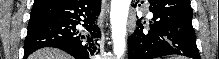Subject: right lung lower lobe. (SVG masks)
I'll list each match as a JSON object with an SVG mask.
<instances>
[{
	"instance_id": "1",
	"label": "right lung lower lobe",
	"mask_w": 219,
	"mask_h": 59,
	"mask_svg": "<svg viewBox=\"0 0 219 59\" xmlns=\"http://www.w3.org/2000/svg\"><path fill=\"white\" fill-rule=\"evenodd\" d=\"M101 0H51L34 4L31 16L44 15L46 19L28 24L24 43V58L42 47H55L75 59H90L98 50L100 31L96 16ZM80 22L84 30L79 29Z\"/></svg>"
}]
</instances>
